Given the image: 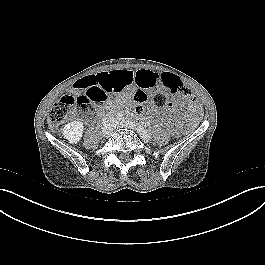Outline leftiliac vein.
I'll return each mask as SVG.
<instances>
[{
  "instance_id": "1",
  "label": "left iliac vein",
  "mask_w": 265,
  "mask_h": 265,
  "mask_svg": "<svg viewBox=\"0 0 265 265\" xmlns=\"http://www.w3.org/2000/svg\"><path fill=\"white\" fill-rule=\"evenodd\" d=\"M125 127L133 129V130L138 132L139 125H137L135 122H133L131 120L118 121L115 124V128H125ZM143 139L148 142L151 140V136L148 135L146 138H143Z\"/></svg>"
}]
</instances>
